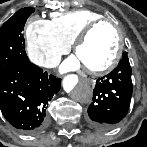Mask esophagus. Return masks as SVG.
<instances>
[{"mask_svg": "<svg viewBox=\"0 0 147 147\" xmlns=\"http://www.w3.org/2000/svg\"><path fill=\"white\" fill-rule=\"evenodd\" d=\"M88 83H89L91 86H94V81H93V80H88Z\"/></svg>", "mask_w": 147, "mask_h": 147, "instance_id": "esophagus-1", "label": "esophagus"}]
</instances>
